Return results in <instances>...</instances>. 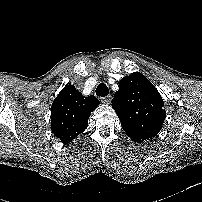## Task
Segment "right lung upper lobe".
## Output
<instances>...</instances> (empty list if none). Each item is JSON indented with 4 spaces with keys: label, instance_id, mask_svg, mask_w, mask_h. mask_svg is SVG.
Returning a JSON list of instances; mask_svg holds the SVG:
<instances>
[{
    "label": "right lung upper lobe",
    "instance_id": "1",
    "mask_svg": "<svg viewBox=\"0 0 202 202\" xmlns=\"http://www.w3.org/2000/svg\"><path fill=\"white\" fill-rule=\"evenodd\" d=\"M90 95L82 96L74 85H66L51 106V130L63 143H68L88 126L90 113L99 105Z\"/></svg>",
    "mask_w": 202,
    "mask_h": 202
}]
</instances>
